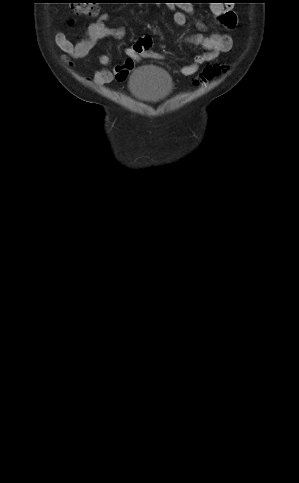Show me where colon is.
Returning a JSON list of instances; mask_svg holds the SVG:
<instances>
[{
  "label": "colon",
  "mask_w": 299,
  "mask_h": 483,
  "mask_svg": "<svg viewBox=\"0 0 299 483\" xmlns=\"http://www.w3.org/2000/svg\"><path fill=\"white\" fill-rule=\"evenodd\" d=\"M75 4V13L81 16H94L98 12V0H79ZM192 3V2H191ZM225 70L224 66L220 64H213L207 66L202 74L203 80L212 79L219 76Z\"/></svg>",
  "instance_id": "1"
}]
</instances>
